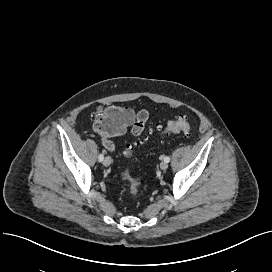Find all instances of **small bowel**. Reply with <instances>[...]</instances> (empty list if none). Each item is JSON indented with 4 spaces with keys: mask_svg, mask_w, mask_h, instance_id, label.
<instances>
[{
    "mask_svg": "<svg viewBox=\"0 0 272 272\" xmlns=\"http://www.w3.org/2000/svg\"><path fill=\"white\" fill-rule=\"evenodd\" d=\"M123 109L127 110L131 114V120L129 122V125L132 124L134 121H136L139 116H142L144 118V120H145V123H146V120H147V112L146 111H141L135 116L133 111L130 110L129 108L124 107ZM103 146L109 152H115L116 151V146H115L114 142L112 140L108 139V138L103 139Z\"/></svg>",
    "mask_w": 272,
    "mask_h": 272,
    "instance_id": "obj_1",
    "label": "small bowel"
}]
</instances>
